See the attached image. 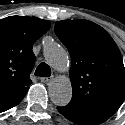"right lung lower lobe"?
I'll return each instance as SVG.
<instances>
[{
	"mask_svg": "<svg viewBox=\"0 0 125 125\" xmlns=\"http://www.w3.org/2000/svg\"><path fill=\"white\" fill-rule=\"evenodd\" d=\"M17 104H19V103H17ZM17 104H14V105H11V106H6V107H1L0 108V112H4V111H6V110H8V109H10V108H12L14 106H16Z\"/></svg>",
	"mask_w": 125,
	"mask_h": 125,
	"instance_id": "right-lung-lower-lobe-1",
	"label": "right lung lower lobe"
}]
</instances>
